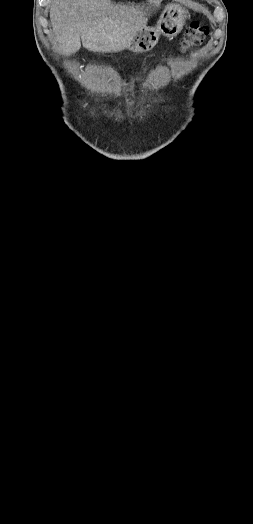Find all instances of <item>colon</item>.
I'll return each mask as SVG.
<instances>
[{"label": "colon", "instance_id": "5ec220e1", "mask_svg": "<svg viewBox=\"0 0 253 524\" xmlns=\"http://www.w3.org/2000/svg\"><path fill=\"white\" fill-rule=\"evenodd\" d=\"M209 34L206 25L200 22H193L185 31L182 48L183 50L194 49L201 45Z\"/></svg>", "mask_w": 253, "mask_h": 524}]
</instances>
